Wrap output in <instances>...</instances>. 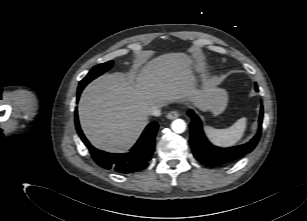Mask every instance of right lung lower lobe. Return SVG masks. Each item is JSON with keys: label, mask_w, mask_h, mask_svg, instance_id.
<instances>
[{"label": "right lung lower lobe", "mask_w": 307, "mask_h": 221, "mask_svg": "<svg viewBox=\"0 0 307 221\" xmlns=\"http://www.w3.org/2000/svg\"><path fill=\"white\" fill-rule=\"evenodd\" d=\"M84 87L79 85L77 99H79L80 93ZM75 125L79 136L89 149L94 161L105 169H110L118 173H134L147 167L148 161L151 159L154 152L155 137L158 130V124L155 121L146 127L140 139L130 152L123 154L107 153L93 147L82 133L78 121L77 110L75 111Z\"/></svg>", "instance_id": "right-lung-lower-lobe-1"}]
</instances>
